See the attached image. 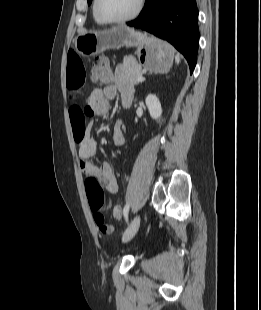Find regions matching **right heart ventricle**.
Returning <instances> with one entry per match:
<instances>
[{"label": "right heart ventricle", "instance_id": "obj_1", "mask_svg": "<svg viewBox=\"0 0 261 310\" xmlns=\"http://www.w3.org/2000/svg\"><path fill=\"white\" fill-rule=\"evenodd\" d=\"M93 18H94V20H95V22H96L97 24H104V23H103L101 20H99L98 17L95 15L94 10H93Z\"/></svg>", "mask_w": 261, "mask_h": 310}]
</instances>
